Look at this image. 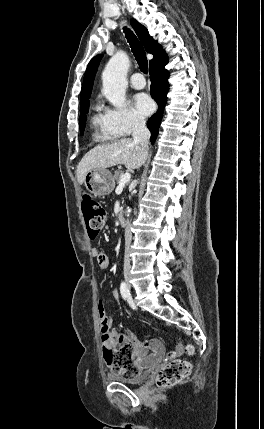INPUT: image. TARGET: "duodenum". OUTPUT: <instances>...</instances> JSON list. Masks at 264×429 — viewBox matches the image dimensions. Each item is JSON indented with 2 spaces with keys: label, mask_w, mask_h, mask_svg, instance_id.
Here are the masks:
<instances>
[{
  "label": "duodenum",
  "mask_w": 264,
  "mask_h": 429,
  "mask_svg": "<svg viewBox=\"0 0 264 429\" xmlns=\"http://www.w3.org/2000/svg\"><path fill=\"white\" fill-rule=\"evenodd\" d=\"M118 220L121 224H125L126 223V218L123 212L118 214Z\"/></svg>",
  "instance_id": "410a0bca"
}]
</instances>
